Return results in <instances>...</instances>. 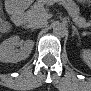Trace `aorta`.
Wrapping results in <instances>:
<instances>
[{"instance_id": "762f6f07", "label": "aorta", "mask_w": 91, "mask_h": 91, "mask_svg": "<svg viewBox=\"0 0 91 91\" xmlns=\"http://www.w3.org/2000/svg\"><path fill=\"white\" fill-rule=\"evenodd\" d=\"M67 28L65 24L56 22L53 25V33L57 37H64L67 34Z\"/></svg>"}]
</instances>
